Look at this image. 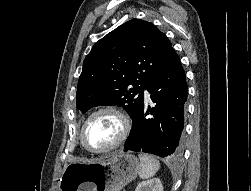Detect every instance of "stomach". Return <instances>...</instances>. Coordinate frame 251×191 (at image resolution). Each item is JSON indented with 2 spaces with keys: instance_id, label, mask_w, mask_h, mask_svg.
Instances as JSON below:
<instances>
[{
  "instance_id": "obj_1",
  "label": "stomach",
  "mask_w": 251,
  "mask_h": 191,
  "mask_svg": "<svg viewBox=\"0 0 251 191\" xmlns=\"http://www.w3.org/2000/svg\"><path fill=\"white\" fill-rule=\"evenodd\" d=\"M140 163L132 153H109L91 163H69L60 179V191H120L139 173Z\"/></svg>"
}]
</instances>
